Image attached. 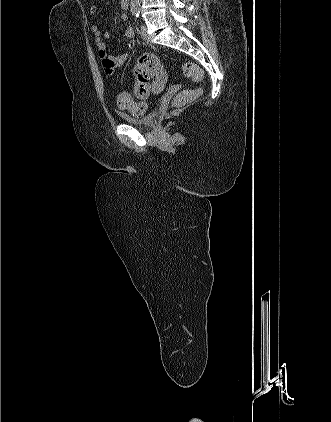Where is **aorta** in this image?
<instances>
[{
  "instance_id": "1",
  "label": "aorta",
  "mask_w": 331,
  "mask_h": 422,
  "mask_svg": "<svg viewBox=\"0 0 331 422\" xmlns=\"http://www.w3.org/2000/svg\"><path fill=\"white\" fill-rule=\"evenodd\" d=\"M140 2L141 0H131L130 5L132 12H137L139 10Z\"/></svg>"
}]
</instances>
